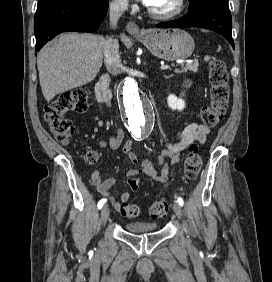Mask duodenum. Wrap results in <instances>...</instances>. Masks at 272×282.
I'll use <instances>...</instances> for the list:
<instances>
[{
    "label": "duodenum",
    "instance_id": "410a0bca",
    "mask_svg": "<svg viewBox=\"0 0 272 282\" xmlns=\"http://www.w3.org/2000/svg\"><path fill=\"white\" fill-rule=\"evenodd\" d=\"M109 80L110 77L107 74L99 79L95 87V95L98 102L107 104L110 107L112 95L109 90Z\"/></svg>",
    "mask_w": 272,
    "mask_h": 282
}]
</instances>
